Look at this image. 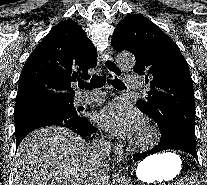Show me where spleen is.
I'll use <instances>...</instances> for the list:
<instances>
[{"label": "spleen", "mask_w": 207, "mask_h": 185, "mask_svg": "<svg viewBox=\"0 0 207 185\" xmlns=\"http://www.w3.org/2000/svg\"><path fill=\"white\" fill-rule=\"evenodd\" d=\"M201 183L200 174H195V170H186V178H179V185H198Z\"/></svg>", "instance_id": "spleen-1"}]
</instances>
